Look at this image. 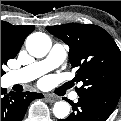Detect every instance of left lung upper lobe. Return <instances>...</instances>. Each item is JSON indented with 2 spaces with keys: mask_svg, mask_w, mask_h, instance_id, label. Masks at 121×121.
Instances as JSON below:
<instances>
[{
  "mask_svg": "<svg viewBox=\"0 0 121 121\" xmlns=\"http://www.w3.org/2000/svg\"><path fill=\"white\" fill-rule=\"evenodd\" d=\"M46 29L70 48L69 60L77 69L80 98L112 112L121 94V51L103 28L70 23Z\"/></svg>",
  "mask_w": 121,
  "mask_h": 121,
  "instance_id": "5c2ea615",
  "label": "left lung upper lobe"
}]
</instances>
